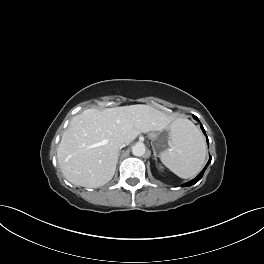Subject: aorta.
I'll return each instance as SVG.
<instances>
[{"label":"aorta","mask_w":264,"mask_h":264,"mask_svg":"<svg viewBox=\"0 0 264 264\" xmlns=\"http://www.w3.org/2000/svg\"><path fill=\"white\" fill-rule=\"evenodd\" d=\"M146 152V147L142 143H137L132 147V154L135 156H143Z\"/></svg>","instance_id":"obj_1"}]
</instances>
